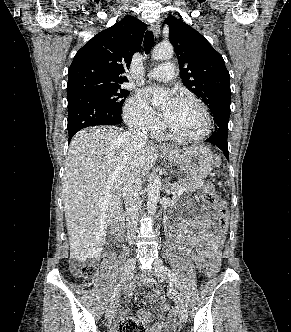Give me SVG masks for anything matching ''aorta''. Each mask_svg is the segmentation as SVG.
Here are the masks:
<instances>
[{"label": "aorta", "mask_w": 291, "mask_h": 332, "mask_svg": "<svg viewBox=\"0 0 291 332\" xmlns=\"http://www.w3.org/2000/svg\"><path fill=\"white\" fill-rule=\"evenodd\" d=\"M174 53V49L170 44H159L157 45L153 52L152 58L153 60H168L172 58ZM162 102V98L160 97H153L152 104L158 105ZM160 190H161V178L156 175L151 180L148 186V194H147V209L148 213L154 215L157 209V203L160 198Z\"/></svg>", "instance_id": "obj_1"}]
</instances>
